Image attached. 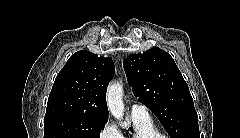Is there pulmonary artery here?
Instances as JSON below:
<instances>
[{"label":"pulmonary artery","instance_id":"pulmonary-artery-1","mask_svg":"<svg viewBox=\"0 0 240 138\" xmlns=\"http://www.w3.org/2000/svg\"><path fill=\"white\" fill-rule=\"evenodd\" d=\"M131 115L134 117L148 116V109L142 104H133L131 107Z\"/></svg>","mask_w":240,"mask_h":138}]
</instances>
